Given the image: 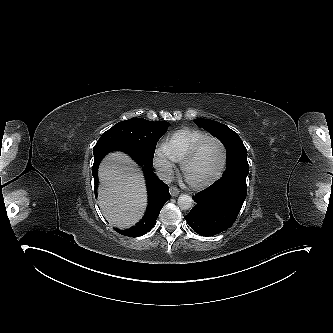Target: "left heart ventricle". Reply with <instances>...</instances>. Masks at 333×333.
Listing matches in <instances>:
<instances>
[{
	"instance_id": "left-heart-ventricle-1",
	"label": "left heart ventricle",
	"mask_w": 333,
	"mask_h": 333,
	"mask_svg": "<svg viewBox=\"0 0 333 333\" xmlns=\"http://www.w3.org/2000/svg\"><path fill=\"white\" fill-rule=\"evenodd\" d=\"M222 159L220 145L209 140L200 148L199 152L186 167V176L190 181L201 182L211 178L219 169Z\"/></svg>"
}]
</instances>
